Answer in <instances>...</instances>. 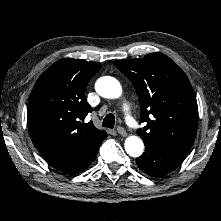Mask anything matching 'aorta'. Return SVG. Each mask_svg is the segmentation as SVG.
<instances>
[{
	"mask_svg": "<svg viewBox=\"0 0 221 221\" xmlns=\"http://www.w3.org/2000/svg\"><path fill=\"white\" fill-rule=\"evenodd\" d=\"M96 92L109 99L119 98L122 95V87L119 81L113 77L105 76L97 80ZM125 151L129 156L139 157L144 151L143 141L137 136H129L124 143Z\"/></svg>",
	"mask_w": 221,
	"mask_h": 221,
	"instance_id": "aorta-1",
	"label": "aorta"
}]
</instances>
